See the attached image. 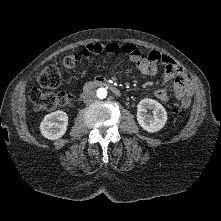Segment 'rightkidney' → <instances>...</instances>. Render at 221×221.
<instances>
[{
	"mask_svg": "<svg viewBox=\"0 0 221 221\" xmlns=\"http://www.w3.org/2000/svg\"><path fill=\"white\" fill-rule=\"evenodd\" d=\"M67 125V113L58 110L44 117L40 124V131L45 138L55 140L62 137L66 133Z\"/></svg>",
	"mask_w": 221,
	"mask_h": 221,
	"instance_id": "1",
	"label": "right kidney"
}]
</instances>
